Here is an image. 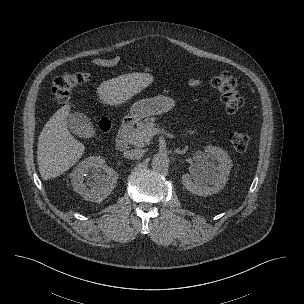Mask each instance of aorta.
<instances>
[{
  "label": "aorta",
  "instance_id": "1",
  "mask_svg": "<svg viewBox=\"0 0 304 304\" xmlns=\"http://www.w3.org/2000/svg\"><path fill=\"white\" fill-rule=\"evenodd\" d=\"M151 166L156 171H164L169 167V158L164 153H157L153 156Z\"/></svg>",
  "mask_w": 304,
  "mask_h": 304
}]
</instances>
